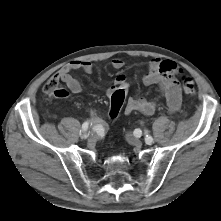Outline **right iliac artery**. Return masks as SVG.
<instances>
[{
  "mask_svg": "<svg viewBox=\"0 0 221 221\" xmlns=\"http://www.w3.org/2000/svg\"><path fill=\"white\" fill-rule=\"evenodd\" d=\"M88 128H89V122H84L82 124V133H81V138L82 139L87 138V133L86 132H87Z\"/></svg>",
  "mask_w": 221,
  "mask_h": 221,
  "instance_id": "82829eb1",
  "label": "right iliac artery"
}]
</instances>
